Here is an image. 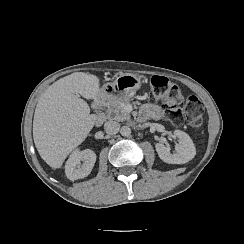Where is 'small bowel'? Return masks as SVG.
<instances>
[{
  "mask_svg": "<svg viewBox=\"0 0 244 244\" xmlns=\"http://www.w3.org/2000/svg\"><path fill=\"white\" fill-rule=\"evenodd\" d=\"M141 119H154L159 120L163 117L162 109L155 104H145L141 109Z\"/></svg>",
  "mask_w": 244,
  "mask_h": 244,
  "instance_id": "small-bowel-1",
  "label": "small bowel"
}]
</instances>
